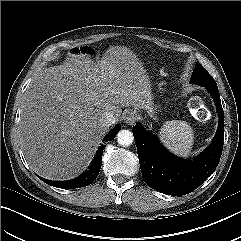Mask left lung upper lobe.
<instances>
[{"label":"left lung upper lobe","instance_id":"obj_1","mask_svg":"<svg viewBox=\"0 0 241 241\" xmlns=\"http://www.w3.org/2000/svg\"><path fill=\"white\" fill-rule=\"evenodd\" d=\"M191 81L194 84H198L203 87H217L215 80L210 76L207 70H205L199 63H196L195 65V69L191 76Z\"/></svg>","mask_w":241,"mask_h":241}]
</instances>
